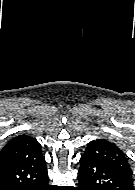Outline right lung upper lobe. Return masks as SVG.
Listing matches in <instances>:
<instances>
[{"mask_svg": "<svg viewBox=\"0 0 135 190\" xmlns=\"http://www.w3.org/2000/svg\"><path fill=\"white\" fill-rule=\"evenodd\" d=\"M42 155L36 139L25 134L11 139L0 151V163L17 159H30Z\"/></svg>", "mask_w": 135, "mask_h": 190, "instance_id": "right-lung-upper-lobe-1", "label": "right lung upper lobe"}]
</instances>
